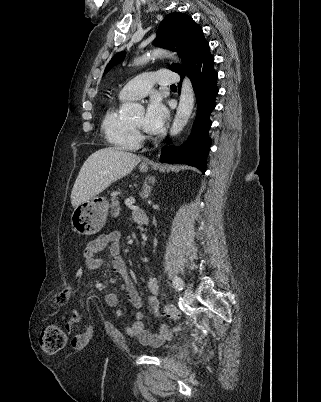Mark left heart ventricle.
I'll list each match as a JSON object with an SVG mask.
<instances>
[{"label":"left heart ventricle","instance_id":"b2bd125f","mask_svg":"<svg viewBox=\"0 0 321 402\" xmlns=\"http://www.w3.org/2000/svg\"><path fill=\"white\" fill-rule=\"evenodd\" d=\"M143 120H144V116L143 114L138 115L137 117H135L131 123L137 127L142 128L143 127Z\"/></svg>","mask_w":321,"mask_h":402}]
</instances>
